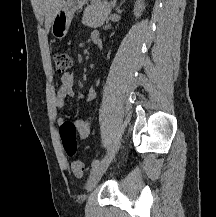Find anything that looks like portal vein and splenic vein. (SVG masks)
Returning a JSON list of instances; mask_svg holds the SVG:
<instances>
[{
    "mask_svg": "<svg viewBox=\"0 0 216 217\" xmlns=\"http://www.w3.org/2000/svg\"><path fill=\"white\" fill-rule=\"evenodd\" d=\"M115 1H116V0H114L113 4H115V3H116Z\"/></svg>",
    "mask_w": 216,
    "mask_h": 217,
    "instance_id": "portal-vein-and-splenic-vein-1",
    "label": "portal vein and splenic vein"
}]
</instances>
